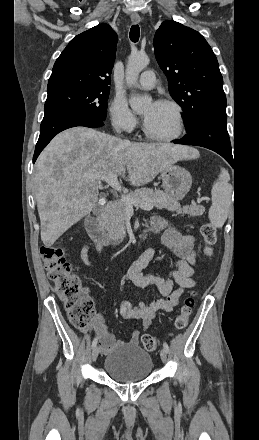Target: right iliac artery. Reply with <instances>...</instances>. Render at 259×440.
<instances>
[{
    "label": "right iliac artery",
    "instance_id": "right-iliac-artery-1",
    "mask_svg": "<svg viewBox=\"0 0 259 440\" xmlns=\"http://www.w3.org/2000/svg\"><path fill=\"white\" fill-rule=\"evenodd\" d=\"M97 337H95L94 339H93V342H92V349L94 348V347H96V345H97Z\"/></svg>",
    "mask_w": 259,
    "mask_h": 440
}]
</instances>
